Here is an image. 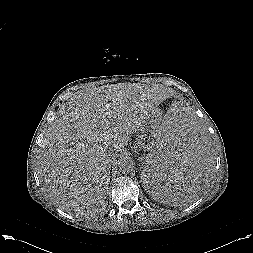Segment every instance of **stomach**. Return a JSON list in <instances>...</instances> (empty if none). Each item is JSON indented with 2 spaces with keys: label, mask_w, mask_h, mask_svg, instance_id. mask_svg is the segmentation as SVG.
I'll list each match as a JSON object with an SVG mask.
<instances>
[{
  "label": "stomach",
  "mask_w": 253,
  "mask_h": 253,
  "mask_svg": "<svg viewBox=\"0 0 253 253\" xmlns=\"http://www.w3.org/2000/svg\"><path fill=\"white\" fill-rule=\"evenodd\" d=\"M163 120L164 117L158 110L145 120L139 130L137 145L140 149L149 151L148 155L153 151L154 145L159 138Z\"/></svg>",
  "instance_id": "stomach-1"
}]
</instances>
